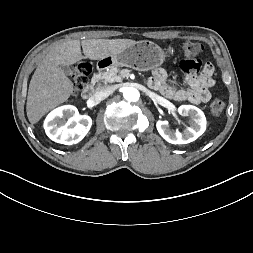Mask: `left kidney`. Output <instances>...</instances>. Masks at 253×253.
<instances>
[{
    "label": "left kidney",
    "mask_w": 253,
    "mask_h": 253,
    "mask_svg": "<svg viewBox=\"0 0 253 253\" xmlns=\"http://www.w3.org/2000/svg\"><path fill=\"white\" fill-rule=\"evenodd\" d=\"M179 114L190 117V127L183 133L172 131L168 121L158 120L156 123L159 134L171 144H187L196 140L206 130V118L202 110L193 105H181L178 108Z\"/></svg>",
    "instance_id": "5707ae66"
}]
</instances>
